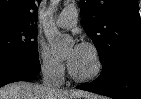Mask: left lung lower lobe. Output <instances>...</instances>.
Masks as SVG:
<instances>
[{
	"instance_id": "left-lung-lower-lobe-1",
	"label": "left lung lower lobe",
	"mask_w": 141,
	"mask_h": 99,
	"mask_svg": "<svg viewBox=\"0 0 141 99\" xmlns=\"http://www.w3.org/2000/svg\"><path fill=\"white\" fill-rule=\"evenodd\" d=\"M76 88L114 99H141V56H120L95 81Z\"/></svg>"
}]
</instances>
